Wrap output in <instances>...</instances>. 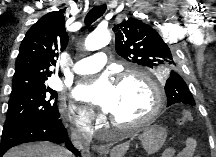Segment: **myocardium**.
Wrapping results in <instances>:
<instances>
[{"mask_svg": "<svg viewBox=\"0 0 216 157\" xmlns=\"http://www.w3.org/2000/svg\"><path fill=\"white\" fill-rule=\"evenodd\" d=\"M127 79H138L148 86L152 95V106L147 115L136 121L123 122L114 118L111 115V122L126 127H139L151 123L159 115L160 111L162 110L165 104V99L159 85L150 75H148L145 71L139 68H132L120 74L117 80V85H121Z\"/></svg>", "mask_w": 216, "mask_h": 157, "instance_id": "f54148a6", "label": "myocardium"}]
</instances>
